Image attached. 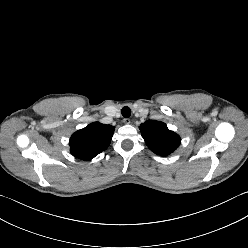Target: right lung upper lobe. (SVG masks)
<instances>
[{
    "mask_svg": "<svg viewBox=\"0 0 248 248\" xmlns=\"http://www.w3.org/2000/svg\"><path fill=\"white\" fill-rule=\"evenodd\" d=\"M114 129L111 125L94 122L76 131L70 138L72 155L82 160H91L108 148Z\"/></svg>",
    "mask_w": 248,
    "mask_h": 248,
    "instance_id": "1",
    "label": "right lung upper lobe"
}]
</instances>
